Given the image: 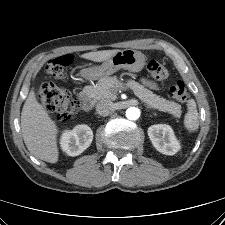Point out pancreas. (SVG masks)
<instances>
[{
	"instance_id": "1",
	"label": "pancreas",
	"mask_w": 225,
	"mask_h": 225,
	"mask_svg": "<svg viewBox=\"0 0 225 225\" xmlns=\"http://www.w3.org/2000/svg\"><path fill=\"white\" fill-rule=\"evenodd\" d=\"M123 86L130 88L141 101L148 105V107L168 112L176 118L181 116L180 104L159 97L134 80H127L126 83H123L117 76L104 77L101 78L95 86H87L83 91L93 100H115L118 90Z\"/></svg>"
}]
</instances>
